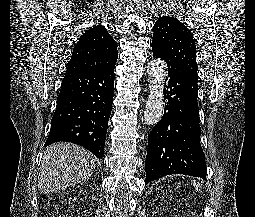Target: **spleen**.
Segmentation results:
<instances>
[{"label":"spleen","instance_id":"1","mask_svg":"<svg viewBox=\"0 0 255 217\" xmlns=\"http://www.w3.org/2000/svg\"><path fill=\"white\" fill-rule=\"evenodd\" d=\"M193 185L195 186L196 190H200L201 185L199 183H196V181H193Z\"/></svg>","mask_w":255,"mask_h":217}]
</instances>
